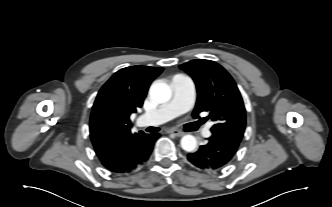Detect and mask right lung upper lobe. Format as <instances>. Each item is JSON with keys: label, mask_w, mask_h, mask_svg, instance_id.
<instances>
[{"label": "right lung upper lobe", "mask_w": 332, "mask_h": 207, "mask_svg": "<svg viewBox=\"0 0 332 207\" xmlns=\"http://www.w3.org/2000/svg\"><path fill=\"white\" fill-rule=\"evenodd\" d=\"M163 68L131 66L117 71L100 89L90 117V136L98 157L122 149L134 137L129 116L143 105L151 82Z\"/></svg>", "instance_id": "obj_1"}]
</instances>
